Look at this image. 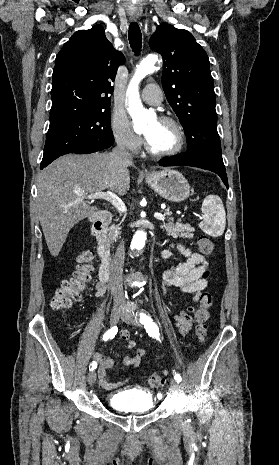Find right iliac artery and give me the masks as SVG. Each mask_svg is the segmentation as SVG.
Masks as SVG:
<instances>
[{
    "instance_id": "1",
    "label": "right iliac artery",
    "mask_w": 279,
    "mask_h": 465,
    "mask_svg": "<svg viewBox=\"0 0 279 465\" xmlns=\"http://www.w3.org/2000/svg\"><path fill=\"white\" fill-rule=\"evenodd\" d=\"M117 331H118V328L116 326L112 327L103 335V340L107 341L110 338H114V336L117 334ZM96 367H97V363L95 362L91 363L89 366L90 370H94Z\"/></svg>"
}]
</instances>
